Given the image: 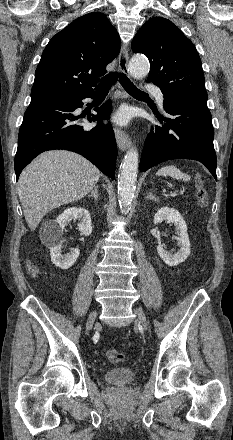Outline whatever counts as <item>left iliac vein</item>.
<instances>
[{"label": "left iliac vein", "mask_w": 233, "mask_h": 440, "mask_svg": "<svg viewBox=\"0 0 233 440\" xmlns=\"http://www.w3.org/2000/svg\"><path fill=\"white\" fill-rule=\"evenodd\" d=\"M134 311L137 315L138 322L144 327L146 331H148V324L144 313L140 309H134Z\"/></svg>", "instance_id": "1"}]
</instances>
